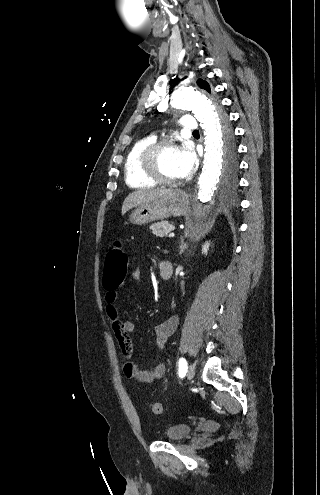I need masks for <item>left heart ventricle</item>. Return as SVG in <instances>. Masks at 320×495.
Instances as JSON below:
<instances>
[{"label":"left heart ventricle","instance_id":"obj_1","mask_svg":"<svg viewBox=\"0 0 320 495\" xmlns=\"http://www.w3.org/2000/svg\"><path fill=\"white\" fill-rule=\"evenodd\" d=\"M181 149V147H168L161 152L158 158V167L163 176L176 180L181 178L179 164V154Z\"/></svg>","mask_w":320,"mask_h":495}]
</instances>
